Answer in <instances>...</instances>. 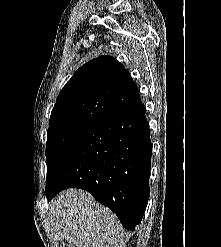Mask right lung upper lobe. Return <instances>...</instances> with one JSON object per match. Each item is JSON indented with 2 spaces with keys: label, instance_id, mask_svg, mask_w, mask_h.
Listing matches in <instances>:
<instances>
[{
  "label": "right lung upper lobe",
  "instance_id": "cb5924a9",
  "mask_svg": "<svg viewBox=\"0 0 221 247\" xmlns=\"http://www.w3.org/2000/svg\"><path fill=\"white\" fill-rule=\"evenodd\" d=\"M142 104L129 72L111 56H100L80 67L59 93L49 129L67 125L93 127Z\"/></svg>",
  "mask_w": 221,
  "mask_h": 247
}]
</instances>
